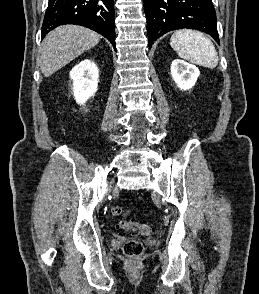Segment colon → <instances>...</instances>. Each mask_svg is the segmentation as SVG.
Segmentation results:
<instances>
[{
	"label": "colon",
	"mask_w": 259,
	"mask_h": 294,
	"mask_svg": "<svg viewBox=\"0 0 259 294\" xmlns=\"http://www.w3.org/2000/svg\"><path fill=\"white\" fill-rule=\"evenodd\" d=\"M112 215L122 216L126 213L125 209L121 206H114L111 209ZM118 226L124 230H129L142 235H150L153 233L154 228L150 224L138 223L133 220H121ZM144 252L143 244L138 240H128L123 245V253L129 258H138Z\"/></svg>",
	"instance_id": "1"
}]
</instances>
